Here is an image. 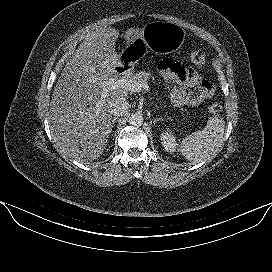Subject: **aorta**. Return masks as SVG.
<instances>
[{
  "instance_id": "762f6f07",
  "label": "aorta",
  "mask_w": 272,
  "mask_h": 272,
  "mask_svg": "<svg viewBox=\"0 0 272 272\" xmlns=\"http://www.w3.org/2000/svg\"><path fill=\"white\" fill-rule=\"evenodd\" d=\"M143 116L141 113H134L131 114V116L129 117V123L132 126H141L143 123Z\"/></svg>"
}]
</instances>
